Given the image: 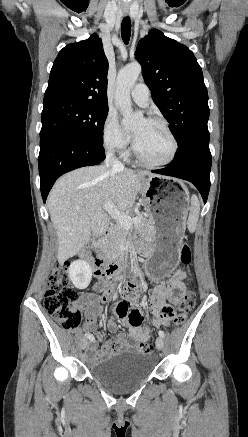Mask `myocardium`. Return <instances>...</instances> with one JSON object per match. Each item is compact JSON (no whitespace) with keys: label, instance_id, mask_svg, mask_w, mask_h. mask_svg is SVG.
<instances>
[{"label":"myocardium","instance_id":"f54148a6","mask_svg":"<svg viewBox=\"0 0 248 437\" xmlns=\"http://www.w3.org/2000/svg\"><path fill=\"white\" fill-rule=\"evenodd\" d=\"M147 121L151 122V123L159 124V125H161L165 129L166 133L168 134V136L170 137V140L172 142L171 153L168 156V158L165 159L164 161L152 162V161L147 160L140 153V151L137 148V145H136L135 141L132 144L133 153H134L135 157L138 159V161L141 162L143 165H145L147 167L159 168V167L167 166V165L171 164L174 161V159H175V157H176V155L178 153L179 145H178L177 138H176L175 134L173 133L172 129L170 128V126H169V124H168V122L166 120H164L162 118H159V117H151V118H148Z\"/></svg>","mask_w":248,"mask_h":437}]
</instances>
